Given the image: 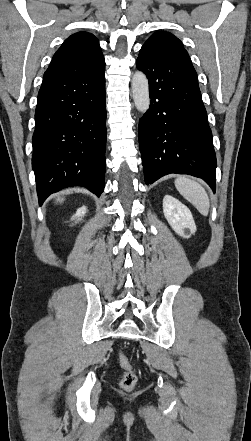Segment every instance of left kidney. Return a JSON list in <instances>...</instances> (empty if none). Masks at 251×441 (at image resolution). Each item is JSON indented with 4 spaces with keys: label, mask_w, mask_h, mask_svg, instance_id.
I'll return each mask as SVG.
<instances>
[{
    "label": "left kidney",
    "mask_w": 251,
    "mask_h": 441,
    "mask_svg": "<svg viewBox=\"0 0 251 441\" xmlns=\"http://www.w3.org/2000/svg\"><path fill=\"white\" fill-rule=\"evenodd\" d=\"M163 213L172 229L181 237L189 238L196 232V225L191 211L176 198L165 195Z\"/></svg>",
    "instance_id": "1"
}]
</instances>
